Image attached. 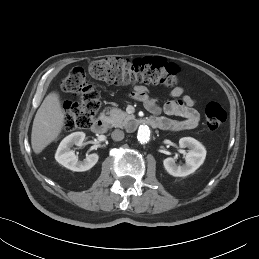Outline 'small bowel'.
Masks as SVG:
<instances>
[{"label":"small bowel","instance_id":"small-bowel-1","mask_svg":"<svg viewBox=\"0 0 259 259\" xmlns=\"http://www.w3.org/2000/svg\"><path fill=\"white\" fill-rule=\"evenodd\" d=\"M130 96L141 102L144 107L155 118H159L163 122L162 129L165 130H186L197 127L200 121V114L194 108L195 100L185 94L182 87H175L170 91L171 100H168L161 108L156 100L152 98L148 90L143 86H135L130 93ZM168 116H179L183 119L176 121L167 117L160 116L161 112Z\"/></svg>","mask_w":259,"mask_h":259}]
</instances>
